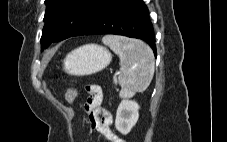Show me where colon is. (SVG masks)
<instances>
[{"instance_id": "5ec220e1", "label": "colon", "mask_w": 227, "mask_h": 142, "mask_svg": "<svg viewBox=\"0 0 227 142\" xmlns=\"http://www.w3.org/2000/svg\"><path fill=\"white\" fill-rule=\"evenodd\" d=\"M76 95V91L70 87L65 93V99L68 103H71Z\"/></svg>"}]
</instances>
